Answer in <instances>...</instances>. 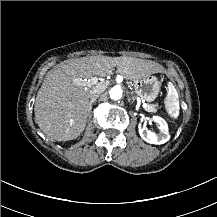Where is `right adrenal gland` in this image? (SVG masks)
Returning <instances> with one entry per match:
<instances>
[{"mask_svg": "<svg viewBox=\"0 0 217 217\" xmlns=\"http://www.w3.org/2000/svg\"><path fill=\"white\" fill-rule=\"evenodd\" d=\"M94 103H96V99L91 100V101L89 102V111L92 109V105H93Z\"/></svg>", "mask_w": 217, "mask_h": 217, "instance_id": "2a0ac1e0", "label": "right adrenal gland"}]
</instances>
